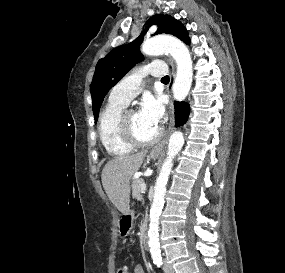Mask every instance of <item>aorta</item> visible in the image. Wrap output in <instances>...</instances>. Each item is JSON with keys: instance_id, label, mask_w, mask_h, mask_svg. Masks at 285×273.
<instances>
[{"instance_id": "1", "label": "aorta", "mask_w": 285, "mask_h": 273, "mask_svg": "<svg viewBox=\"0 0 285 273\" xmlns=\"http://www.w3.org/2000/svg\"><path fill=\"white\" fill-rule=\"evenodd\" d=\"M142 52L148 56H158L169 53L177 64V72L172 87L176 100H184L191 88L193 77L192 59L186 45L177 38L170 36H156L144 41ZM184 144L183 134L175 131L169 139L167 158L164 161L154 187V197L150 209V223L148 230L149 247L152 255L160 254L159 217L164 205L166 185L173 167V160Z\"/></svg>"}]
</instances>
